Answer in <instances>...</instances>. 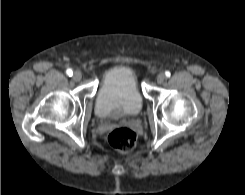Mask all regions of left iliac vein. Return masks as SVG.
<instances>
[{
  "mask_svg": "<svg viewBox=\"0 0 245 195\" xmlns=\"http://www.w3.org/2000/svg\"><path fill=\"white\" fill-rule=\"evenodd\" d=\"M165 78H166V77H165V74H164V73L158 74V76H157V78H156L157 83L162 84V83L164 82Z\"/></svg>",
  "mask_w": 245,
  "mask_h": 195,
  "instance_id": "1",
  "label": "left iliac vein"
}]
</instances>
